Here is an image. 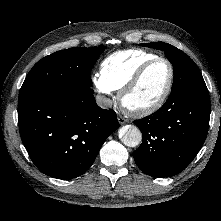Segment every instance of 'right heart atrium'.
I'll list each match as a JSON object with an SVG mask.
<instances>
[{
    "instance_id": "d8ad5b80",
    "label": "right heart atrium",
    "mask_w": 221,
    "mask_h": 221,
    "mask_svg": "<svg viewBox=\"0 0 221 221\" xmlns=\"http://www.w3.org/2000/svg\"><path fill=\"white\" fill-rule=\"evenodd\" d=\"M91 82L95 89L101 94L110 95L113 91L105 82L103 77L98 73L92 75Z\"/></svg>"
}]
</instances>
